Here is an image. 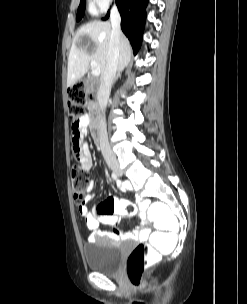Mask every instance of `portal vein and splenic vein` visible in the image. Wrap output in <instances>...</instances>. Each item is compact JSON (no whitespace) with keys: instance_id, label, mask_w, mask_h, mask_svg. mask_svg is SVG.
Wrapping results in <instances>:
<instances>
[{"instance_id":"obj_1","label":"portal vein and splenic vein","mask_w":247,"mask_h":304,"mask_svg":"<svg viewBox=\"0 0 247 304\" xmlns=\"http://www.w3.org/2000/svg\"><path fill=\"white\" fill-rule=\"evenodd\" d=\"M92 68V75L99 76L100 75V69L98 68V64L96 61H91L90 63Z\"/></svg>"}]
</instances>
